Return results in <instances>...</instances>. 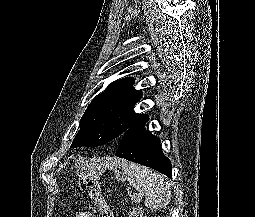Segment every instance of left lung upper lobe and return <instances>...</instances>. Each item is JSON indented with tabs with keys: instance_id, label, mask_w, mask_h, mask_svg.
I'll return each instance as SVG.
<instances>
[{
	"instance_id": "left-lung-upper-lobe-1",
	"label": "left lung upper lobe",
	"mask_w": 255,
	"mask_h": 217,
	"mask_svg": "<svg viewBox=\"0 0 255 217\" xmlns=\"http://www.w3.org/2000/svg\"><path fill=\"white\" fill-rule=\"evenodd\" d=\"M133 83L130 77L117 80L91 101L71 147H97L121 140L126 130L142 116L133 111L141 98V93L132 87Z\"/></svg>"
}]
</instances>
